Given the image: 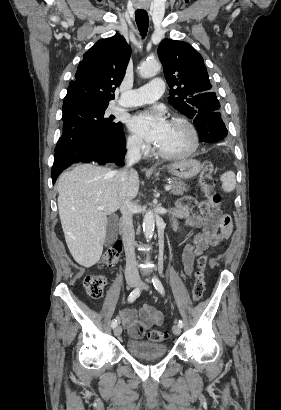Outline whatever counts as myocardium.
<instances>
[{"mask_svg":"<svg viewBox=\"0 0 281 410\" xmlns=\"http://www.w3.org/2000/svg\"><path fill=\"white\" fill-rule=\"evenodd\" d=\"M171 122H177L185 127L188 128V130L191 133L192 136V143L188 149L182 152L178 153H169L161 150L158 146L155 147L157 154L165 159H180V158H185L190 155H192L198 148L199 146V132L196 128V126L186 117L180 116V115H175L170 119Z\"/></svg>","mask_w":281,"mask_h":410,"instance_id":"myocardium-1","label":"myocardium"}]
</instances>
